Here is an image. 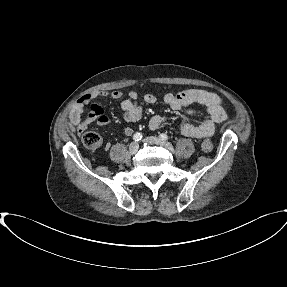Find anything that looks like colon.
<instances>
[{"label": "colon", "instance_id": "obj_1", "mask_svg": "<svg viewBox=\"0 0 287 287\" xmlns=\"http://www.w3.org/2000/svg\"><path fill=\"white\" fill-rule=\"evenodd\" d=\"M82 144L85 148L93 150L96 149L101 142V138L98 134L94 132H86L81 137ZM214 143L212 139L207 138L202 142V149L209 152L213 149Z\"/></svg>", "mask_w": 287, "mask_h": 287}]
</instances>
